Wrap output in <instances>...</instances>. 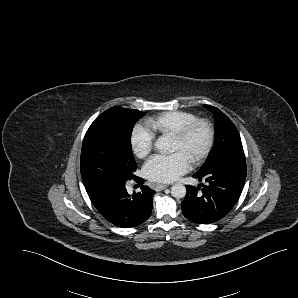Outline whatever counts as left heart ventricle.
I'll return each mask as SVG.
<instances>
[{
	"label": "left heart ventricle",
	"mask_w": 298,
	"mask_h": 298,
	"mask_svg": "<svg viewBox=\"0 0 298 298\" xmlns=\"http://www.w3.org/2000/svg\"><path fill=\"white\" fill-rule=\"evenodd\" d=\"M203 139V133L200 128L194 129L188 136L181 140H163L162 151L178 152L188 163L190 158L199 149Z\"/></svg>",
	"instance_id": "1"
}]
</instances>
